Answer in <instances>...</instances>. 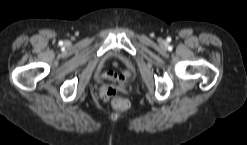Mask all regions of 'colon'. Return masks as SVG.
Listing matches in <instances>:
<instances>
[{"label": "colon", "mask_w": 247, "mask_h": 145, "mask_svg": "<svg viewBox=\"0 0 247 145\" xmlns=\"http://www.w3.org/2000/svg\"><path fill=\"white\" fill-rule=\"evenodd\" d=\"M114 93H115V88L112 87V86H110V87L107 89V94H108V96H111V95H113ZM112 106H113V108H115V109H117V110H125V109H127V107H128V102H127L125 99H123V98L117 97V98H114V99L112 100Z\"/></svg>", "instance_id": "colon-1"}]
</instances>
